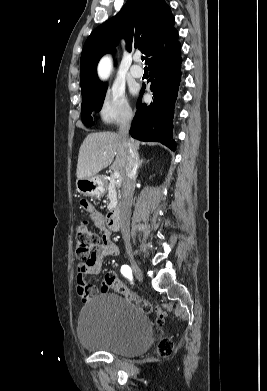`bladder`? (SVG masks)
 <instances>
[{
    "instance_id": "bladder-1",
    "label": "bladder",
    "mask_w": 267,
    "mask_h": 391,
    "mask_svg": "<svg viewBox=\"0 0 267 391\" xmlns=\"http://www.w3.org/2000/svg\"><path fill=\"white\" fill-rule=\"evenodd\" d=\"M77 333L85 349L133 357L148 350L153 327L136 304L119 294L106 293L83 306Z\"/></svg>"
}]
</instances>
